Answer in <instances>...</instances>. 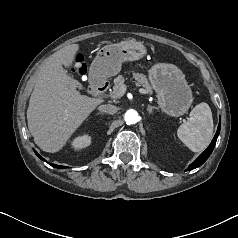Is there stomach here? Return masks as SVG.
Listing matches in <instances>:
<instances>
[{
	"instance_id": "1",
	"label": "stomach",
	"mask_w": 238,
	"mask_h": 238,
	"mask_svg": "<svg viewBox=\"0 0 238 238\" xmlns=\"http://www.w3.org/2000/svg\"><path fill=\"white\" fill-rule=\"evenodd\" d=\"M145 52V46L135 40L106 45L97 52L89 76L98 80L115 76L121 71L123 62L139 60ZM148 77L158 104L166 114L178 117L188 111L193 101L192 91L177 66L158 63L151 67Z\"/></svg>"
}]
</instances>
